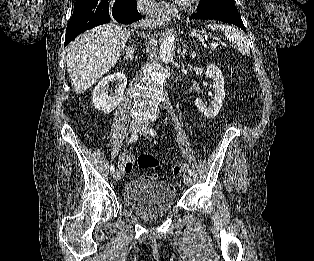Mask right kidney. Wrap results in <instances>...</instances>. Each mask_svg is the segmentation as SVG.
Instances as JSON below:
<instances>
[{
	"instance_id": "1",
	"label": "right kidney",
	"mask_w": 314,
	"mask_h": 261,
	"mask_svg": "<svg viewBox=\"0 0 314 261\" xmlns=\"http://www.w3.org/2000/svg\"><path fill=\"white\" fill-rule=\"evenodd\" d=\"M117 83L115 92L108 94L106 87L109 82ZM127 79L121 72H116L102 79L93 91L92 103L97 110L105 114L112 112L122 101Z\"/></svg>"
}]
</instances>
